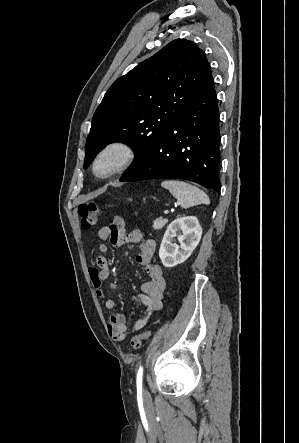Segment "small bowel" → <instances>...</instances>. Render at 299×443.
<instances>
[{
    "mask_svg": "<svg viewBox=\"0 0 299 443\" xmlns=\"http://www.w3.org/2000/svg\"><path fill=\"white\" fill-rule=\"evenodd\" d=\"M98 236L102 242L98 246L99 254L95 258V266L90 269L89 275L97 295L104 299L105 308L109 311L116 308V303L113 299L106 297L102 284L110 276V266L106 258L110 245L114 247H122L128 244L140 245L136 260L143 266L149 280L141 285V291L134 296L135 300L140 301L146 306L144 317L136 321L133 327L134 331H138L147 324L154 313L162 308L166 280L161 267L152 263L156 243L152 239H145L143 232L140 230L126 233L124 220L120 216H114L110 224L101 227L98 231ZM107 330L114 341H124L128 336L125 316L120 313L111 315Z\"/></svg>",
    "mask_w": 299,
    "mask_h": 443,
    "instance_id": "1",
    "label": "small bowel"
}]
</instances>
